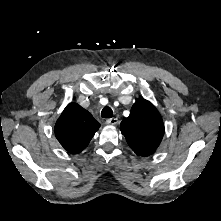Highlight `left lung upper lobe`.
I'll return each instance as SVG.
<instances>
[{
    "label": "left lung upper lobe",
    "mask_w": 221,
    "mask_h": 221,
    "mask_svg": "<svg viewBox=\"0 0 221 221\" xmlns=\"http://www.w3.org/2000/svg\"><path fill=\"white\" fill-rule=\"evenodd\" d=\"M121 132L130 148L139 156L155 152L164 135V124L157 109L147 100L139 99L129 117L121 122Z\"/></svg>",
    "instance_id": "1"
}]
</instances>
